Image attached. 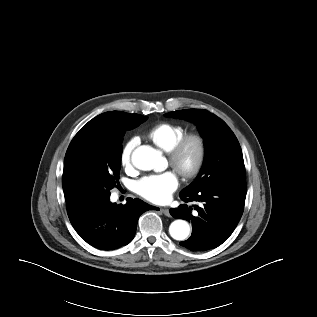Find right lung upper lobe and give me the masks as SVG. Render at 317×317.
I'll return each instance as SVG.
<instances>
[{
  "label": "right lung upper lobe",
  "instance_id": "obj_1",
  "mask_svg": "<svg viewBox=\"0 0 317 317\" xmlns=\"http://www.w3.org/2000/svg\"><path fill=\"white\" fill-rule=\"evenodd\" d=\"M105 113L95 117L94 119H92L91 121H89L85 126H92V125H97L100 124L102 122V119L105 117L104 115Z\"/></svg>",
  "mask_w": 317,
  "mask_h": 317
}]
</instances>
